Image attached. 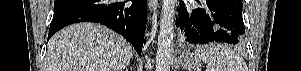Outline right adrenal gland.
<instances>
[{
	"label": "right adrenal gland",
	"mask_w": 301,
	"mask_h": 71,
	"mask_svg": "<svg viewBox=\"0 0 301 71\" xmlns=\"http://www.w3.org/2000/svg\"><path fill=\"white\" fill-rule=\"evenodd\" d=\"M128 70H129V65H127L125 68V71H128Z\"/></svg>",
	"instance_id": "right-adrenal-gland-1"
}]
</instances>
